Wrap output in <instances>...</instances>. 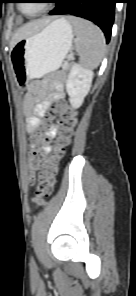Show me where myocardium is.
I'll return each instance as SVG.
<instances>
[{
    "mask_svg": "<svg viewBox=\"0 0 136 296\" xmlns=\"http://www.w3.org/2000/svg\"><path fill=\"white\" fill-rule=\"evenodd\" d=\"M20 9H21V11L23 12V13H25L26 15H29V16H33V15H35L36 13H33V14H29V13H27L26 11H25V9H24V7H23V4H20Z\"/></svg>",
    "mask_w": 136,
    "mask_h": 296,
    "instance_id": "obj_1",
    "label": "myocardium"
}]
</instances>
